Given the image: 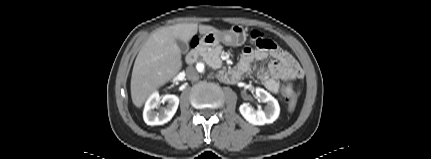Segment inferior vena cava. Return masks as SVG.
I'll list each match as a JSON object with an SVG mask.
<instances>
[{
    "label": "inferior vena cava",
    "mask_w": 431,
    "mask_h": 159,
    "mask_svg": "<svg viewBox=\"0 0 431 159\" xmlns=\"http://www.w3.org/2000/svg\"><path fill=\"white\" fill-rule=\"evenodd\" d=\"M186 75L187 78L191 81H197L199 79V74L193 66L187 68Z\"/></svg>",
    "instance_id": "1"
}]
</instances>
